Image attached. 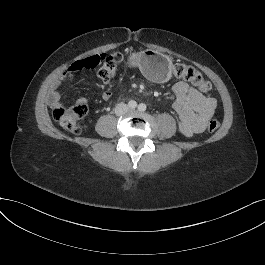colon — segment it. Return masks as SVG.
<instances>
[{
  "instance_id": "colon-1",
  "label": "colon",
  "mask_w": 265,
  "mask_h": 265,
  "mask_svg": "<svg viewBox=\"0 0 265 265\" xmlns=\"http://www.w3.org/2000/svg\"><path fill=\"white\" fill-rule=\"evenodd\" d=\"M122 61L123 56L121 53H113L110 55L96 54L74 62L69 67L68 72L99 67V78L104 82H108L116 75ZM173 74L177 78L192 82L204 93L209 92L211 89L210 83L192 66L177 64L173 68ZM86 113L87 106L85 104H76L70 107L57 106L53 111V116L63 128L74 134H78L81 131L79 121ZM219 126L220 124L216 119H211L207 124V129L209 132H214Z\"/></svg>"
}]
</instances>
